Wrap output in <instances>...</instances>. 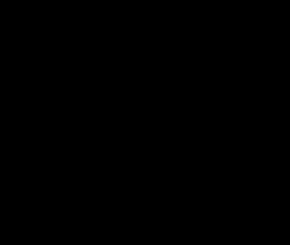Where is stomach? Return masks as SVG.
<instances>
[{
    "mask_svg": "<svg viewBox=\"0 0 290 245\" xmlns=\"http://www.w3.org/2000/svg\"><path fill=\"white\" fill-rule=\"evenodd\" d=\"M115 22L117 26L125 27L132 37L142 42V35L150 30V24H153L154 20L146 14L126 12L117 16ZM151 40L153 54L159 68L174 82L178 79V96L186 102L193 101L197 96V83L194 75L196 65L183 41L179 37H174L170 42H166L164 38L158 36H153Z\"/></svg>",
    "mask_w": 290,
    "mask_h": 245,
    "instance_id": "0dacf381",
    "label": "stomach"
}]
</instances>
